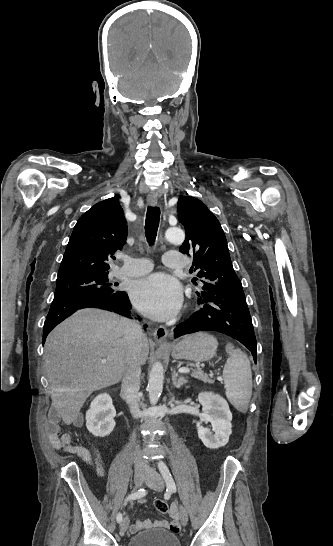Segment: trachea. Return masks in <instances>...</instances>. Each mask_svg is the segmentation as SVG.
Wrapping results in <instances>:
<instances>
[{"instance_id":"obj_1","label":"trachea","mask_w":333,"mask_h":546,"mask_svg":"<svg viewBox=\"0 0 333 546\" xmlns=\"http://www.w3.org/2000/svg\"><path fill=\"white\" fill-rule=\"evenodd\" d=\"M160 220V209L149 206L146 214L145 233L149 244L153 245L157 236Z\"/></svg>"}]
</instances>
